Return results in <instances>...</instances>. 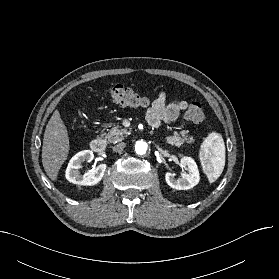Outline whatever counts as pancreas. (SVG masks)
<instances>
[{
	"label": "pancreas",
	"mask_w": 279,
	"mask_h": 279,
	"mask_svg": "<svg viewBox=\"0 0 279 279\" xmlns=\"http://www.w3.org/2000/svg\"><path fill=\"white\" fill-rule=\"evenodd\" d=\"M127 134H128L127 129L117 125L113 127L108 133L102 134V137H105L109 143L115 144L117 142L122 141ZM165 139L167 144L174 145L176 147H180L184 143L190 144L194 142L192 136L188 135L187 130L181 131L180 134L174 132L172 136L169 135Z\"/></svg>",
	"instance_id": "obj_1"
}]
</instances>
